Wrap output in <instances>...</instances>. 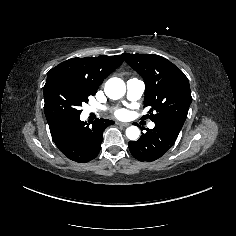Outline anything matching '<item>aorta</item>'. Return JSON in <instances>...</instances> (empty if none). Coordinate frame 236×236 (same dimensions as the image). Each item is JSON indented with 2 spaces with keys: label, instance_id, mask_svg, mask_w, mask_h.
I'll return each mask as SVG.
<instances>
[{
  "label": "aorta",
  "instance_id": "1",
  "mask_svg": "<svg viewBox=\"0 0 236 236\" xmlns=\"http://www.w3.org/2000/svg\"><path fill=\"white\" fill-rule=\"evenodd\" d=\"M105 93L110 99L121 98L126 91L124 82L119 78H110L105 84ZM126 136L130 140H137L140 136V130L137 126H130L126 129Z\"/></svg>",
  "mask_w": 236,
  "mask_h": 236
}]
</instances>
